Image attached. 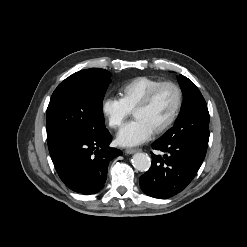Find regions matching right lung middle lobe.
<instances>
[{"instance_id": "dd1d6c3e", "label": "right lung middle lobe", "mask_w": 247, "mask_h": 247, "mask_svg": "<svg viewBox=\"0 0 247 247\" xmlns=\"http://www.w3.org/2000/svg\"><path fill=\"white\" fill-rule=\"evenodd\" d=\"M111 74L99 68L78 71L53 92L47 108L48 146L105 129L102 101Z\"/></svg>"}]
</instances>
